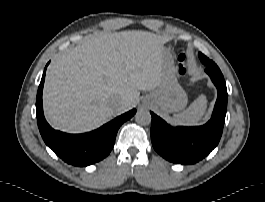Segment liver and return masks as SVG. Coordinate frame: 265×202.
<instances>
[{"label": "liver", "instance_id": "1", "mask_svg": "<svg viewBox=\"0 0 265 202\" xmlns=\"http://www.w3.org/2000/svg\"><path fill=\"white\" fill-rule=\"evenodd\" d=\"M167 40L146 31L86 37L47 77L43 103L48 122L68 133L91 131L114 113V96L121 95L128 106L139 90L160 85L161 47Z\"/></svg>", "mask_w": 265, "mask_h": 202}]
</instances>
